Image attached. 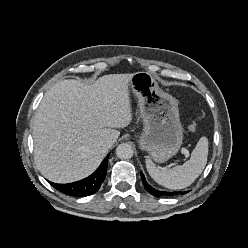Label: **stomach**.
Instances as JSON below:
<instances>
[{
  "instance_id": "stomach-1",
  "label": "stomach",
  "mask_w": 248,
  "mask_h": 248,
  "mask_svg": "<svg viewBox=\"0 0 248 248\" xmlns=\"http://www.w3.org/2000/svg\"><path fill=\"white\" fill-rule=\"evenodd\" d=\"M129 86L138 99L144 123L139 143L155 162L164 163L178 152L183 141L178 102L163 92L148 72L134 73Z\"/></svg>"
}]
</instances>
